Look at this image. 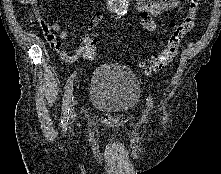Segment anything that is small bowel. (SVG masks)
Instances as JSON below:
<instances>
[{
    "instance_id": "c3829d8e",
    "label": "small bowel",
    "mask_w": 221,
    "mask_h": 174,
    "mask_svg": "<svg viewBox=\"0 0 221 174\" xmlns=\"http://www.w3.org/2000/svg\"><path fill=\"white\" fill-rule=\"evenodd\" d=\"M179 3L180 0H136L135 10L140 18L143 28L148 32H153L156 30L155 17L177 7ZM36 16L43 30L44 37L52 48L59 52L63 61L71 64L82 57L80 48H78L74 54H69L66 51L62 43V41L68 36V31L65 27L58 23L49 22L40 9L36 10ZM102 19V11H95L87 22L86 28L88 30L93 29L100 24ZM55 33H57V35Z\"/></svg>"
}]
</instances>
